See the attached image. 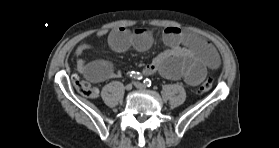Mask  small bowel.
I'll return each mask as SVG.
<instances>
[{
  "instance_id": "1",
  "label": "small bowel",
  "mask_w": 279,
  "mask_h": 148,
  "mask_svg": "<svg viewBox=\"0 0 279 148\" xmlns=\"http://www.w3.org/2000/svg\"><path fill=\"white\" fill-rule=\"evenodd\" d=\"M162 39L168 49L143 68L145 75L159 72L167 79H184L187 84L195 86L205 78L208 69H217L220 66V57L215 47L191 31L167 27L163 31ZM152 42L151 32L143 27L134 31L117 28L108 34L110 47L118 53L131 47L144 52L151 47ZM89 49L88 45L83 44L76 51L77 68L85 78L98 83L120 75L109 61H84L82 56Z\"/></svg>"
}]
</instances>
